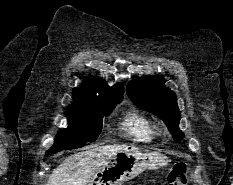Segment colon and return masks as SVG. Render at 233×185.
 <instances>
[{
  "label": "colon",
  "mask_w": 233,
  "mask_h": 185,
  "mask_svg": "<svg viewBox=\"0 0 233 185\" xmlns=\"http://www.w3.org/2000/svg\"><path fill=\"white\" fill-rule=\"evenodd\" d=\"M168 185H187V164L175 163L167 176Z\"/></svg>",
  "instance_id": "obj_1"
}]
</instances>
